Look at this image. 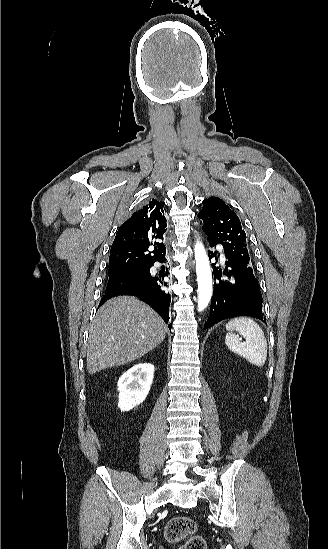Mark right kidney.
<instances>
[{
  "label": "right kidney",
  "instance_id": "1",
  "mask_svg": "<svg viewBox=\"0 0 328 549\" xmlns=\"http://www.w3.org/2000/svg\"><path fill=\"white\" fill-rule=\"evenodd\" d=\"M154 365L138 363L123 373L118 381L119 403L121 411H129L143 403L152 385Z\"/></svg>",
  "mask_w": 328,
  "mask_h": 549
}]
</instances>
